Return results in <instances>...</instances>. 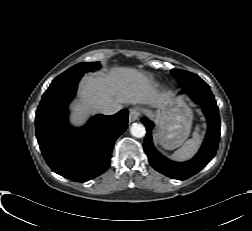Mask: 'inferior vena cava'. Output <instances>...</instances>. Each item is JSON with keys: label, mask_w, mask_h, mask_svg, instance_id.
<instances>
[{"label": "inferior vena cava", "mask_w": 252, "mask_h": 231, "mask_svg": "<svg viewBox=\"0 0 252 231\" xmlns=\"http://www.w3.org/2000/svg\"><path fill=\"white\" fill-rule=\"evenodd\" d=\"M121 108L120 104L104 105L99 108V111L104 115H113L120 111Z\"/></svg>", "instance_id": "obj_1"}]
</instances>
